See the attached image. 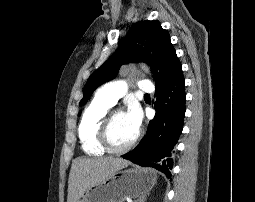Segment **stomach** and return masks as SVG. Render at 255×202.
I'll return each instance as SVG.
<instances>
[{"instance_id":"stomach-1","label":"stomach","mask_w":255,"mask_h":202,"mask_svg":"<svg viewBox=\"0 0 255 202\" xmlns=\"http://www.w3.org/2000/svg\"><path fill=\"white\" fill-rule=\"evenodd\" d=\"M155 182L156 177L149 170L132 168L116 171L88 188L78 202H123L126 197L147 194Z\"/></svg>"}]
</instances>
